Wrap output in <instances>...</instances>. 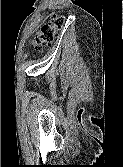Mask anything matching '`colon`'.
I'll use <instances>...</instances> for the list:
<instances>
[{
	"label": "colon",
	"mask_w": 123,
	"mask_h": 167,
	"mask_svg": "<svg viewBox=\"0 0 123 167\" xmlns=\"http://www.w3.org/2000/svg\"><path fill=\"white\" fill-rule=\"evenodd\" d=\"M64 25V18L61 15H53L50 21L44 24L32 40L35 48L42 49L52 44L56 38L57 32Z\"/></svg>",
	"instance_id": "obj_1"
}]
</instances>
